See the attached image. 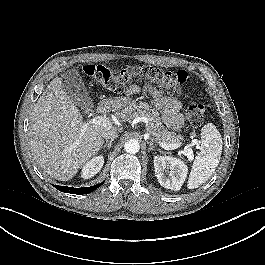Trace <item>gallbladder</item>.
<instances>
[{
  "mask_svg": "<svg viewBox=\"0 0 265 265\" xmlns=\"http://www.w3.org/2000/svg\"><path fill=\"white\" fill-rule=\"evenodd\" d=\"M61 81L70 99L82 110L91 111L93 102L79 72L76 69L68 70L63 74Z\"/></svg>",
  "mask_w": 265,
  "mask_h": 265,
  "instance_id": "bac80fb5",
  "label": "gallbladder"
}]
</instances>
